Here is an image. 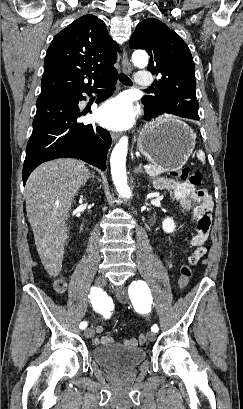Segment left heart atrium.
<instances>
[{
  "instance_id": "obj_1",
  "label": "left heart atrium",
  "mask_w": 243,
  "mask_h": 409,
  "mask_svg": "<svg viewBox=\"0 0 243 409\" xmlns=\"http://www.w3.org/2000/svg\"><path fill=\"white\" fill-rule=\"evenodd\" d=\"M135 111L130 101L124 96H118L103 104L97 120L112 130H122L130 127L134 122Z\"/></svg>"
}]
</instances>
